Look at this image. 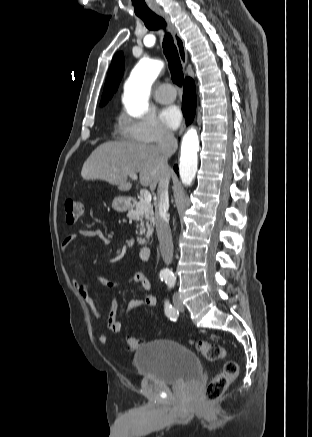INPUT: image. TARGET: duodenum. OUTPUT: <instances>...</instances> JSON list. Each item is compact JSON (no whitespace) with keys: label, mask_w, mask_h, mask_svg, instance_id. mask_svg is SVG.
Returning <instances> with one entry per match:
<instances>
[{"label":"duodenum","mask_w":312,"mask_h":437,"mask_svg":"<svg viewBox=\"0 0 312 437\" xmlns=\"http://www.w3.org/2000/svg\"><path fill=\"white\" fill-rule=\"evenodd\" d=\"M127 204L131 205L134 203L133 199L127 198ZM152 247L149 245H143L139 249V259L143 262H148L151 259Z\"/></svg>","instance_id":"obj_1"}]
</instances>
